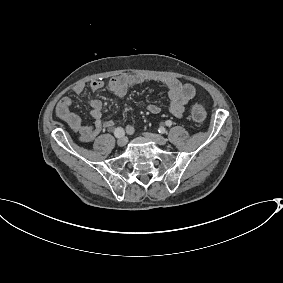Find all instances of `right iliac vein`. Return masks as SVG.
<instances>
[{
	"mask_svg": "<svg viewBox=\"0 0 283 283\" xmlns=\"http://www.w3.org/2000/svg\"><path fill=\"white\" fill-rule=\"evenodd\" d=\"M117 144H118V146H120V147H124V146L127 144V138H126V137H120V138L117 140Z\"/></svg>",
	"mask_w": 283,
	"mask_h": 283,
	"instance_id": "obj_1",
	"label": "right iliac vein"
}]
</instances>
